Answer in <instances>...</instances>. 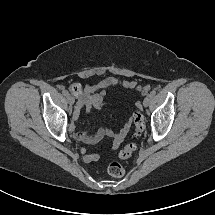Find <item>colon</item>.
I'll use <instances>...</instances> for the list:
<instances>
[{"mask_svg":"<svg viewBox=\"0 0 215 215\" xmlns=\"http://www.w3.org/2000/svg\"><path fill=\"white\" fill-rule=\"evenodd\" d=\"M80 87L77 84L72 85L71 90L73 93L79 91ZM134 120V132L135 135H140L145 129V122L143 115L139 112H135L133 115ZM136 150V144L131 142L125 144L118 153L120 159L130 158ZM108 173L113 177H121L124 175V168L119 162H112L107 168Z\"/></svg>","mask_w":215,"mask_h":215,"instance_id":"obj_1","label":"colon"}]
</instances>
